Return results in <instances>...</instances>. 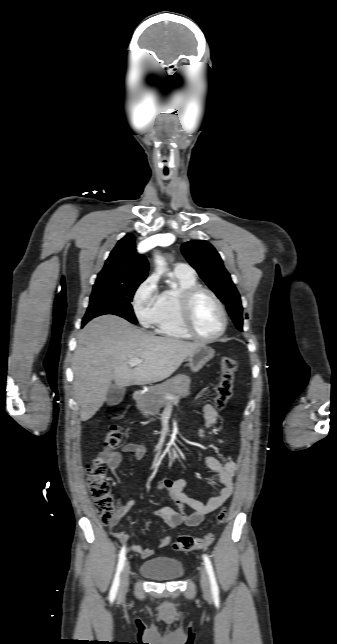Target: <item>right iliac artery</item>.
<instances>
[{
    "mask_svg": "<svg viewBox=\"0 0 337 644\" xmlns=\"http://www.w3.org/2000/svg\"><path fill=\"white\" fill-rule=\"evenodd\" d=\"M125 560H126V548L124 546L121 549L120 554H119L117 570H116L115 578H114V581H113V584H112V587H111V590H110V596L109 597H110L111 600H114L115 597H116L118 587H119V582H120V573H121V571H122V569L124 567Z\"/></svg>",
    "mask_w": 337,
    "mask_h": 644,
    "instance_id": "1",
    "label": "right iliac artery"
}]
</instances>
